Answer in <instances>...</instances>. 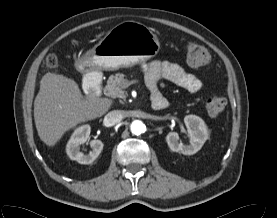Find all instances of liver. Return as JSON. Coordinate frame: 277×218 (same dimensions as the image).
<instances>
[{
	"instance_id": "obj_1",
	"label": "liver",
	"mask_w": 277,
	"mask_h": 218,
	"mask_svg": "<svg viewBox=\"0 0 277 218\" xmlns=\"http://www.w3.org/2000/svg\"><path fill=\"white\" fill-rule=\"evenodd\" d=\"M111 105L108 98L84 100L73 79L46 73L34 101L38 135L46 145L54 146L66 131L104 115Z\"/></svg>"
}]
</instances>
